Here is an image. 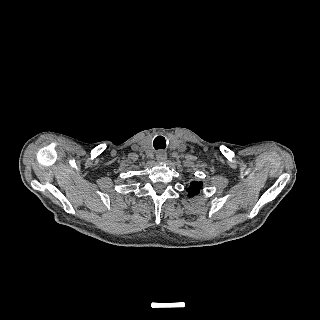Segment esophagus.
I'll return each instance as SVG.
<instances>
[{"mask_svg": "<svg viewBox=\"0 0 320 320\" xmlns=\"http://www.w3.org/2000/svg\"><path fill=\"white\" fill-rule=\"evenodd\" d=\"M156 158H157V160L159 162H163V161H165L167 159V154H166L165 151L160 150V151L157 152Z\"/></svg>", "mask_w": 320, "mask_h": 320, "instance_id": "obj_1", "label": "esophagus"}]
</instances>
